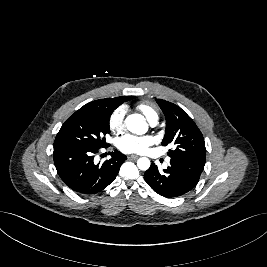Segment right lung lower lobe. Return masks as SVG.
<instances>
[{"label": "right lung lower lobe", "instance_id": "1", "mask_svg": "<svg viewBox=\"0 0 267 267\" xmlns=\"http://www.w3.org/2000/svg\"><path fill=\"white\" fill-rule=\"evenodd\" d=\"M98 149L60 147L54 148L53 158L57 173L64 183L82 194H94L105 189L116 178L126 156L112 152L111 159L103 164L93 162Z\"/></svg>", "mask_w": 267, "mask_h": 267}]
</instances>
